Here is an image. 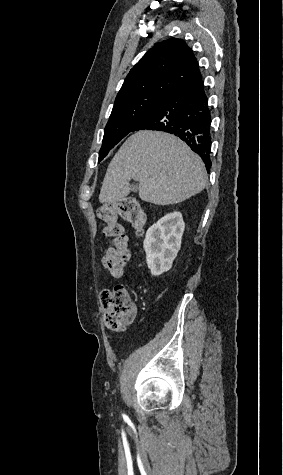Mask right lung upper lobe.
I'll return each mask as SVG.
<instances>
[{
	"label": "right lung upper lobe",
	"mask_w": 283,
	"mask_h": 475,
	"mask_svg": "<svg viewBox=\"0 0 283 475\" xmlns=\"http://www.w3.org/2000/svg\"><path fill=\"white\" fill-rule=\"evenodd\" d=\"M201 78L199 65L184 40L170 38L157 43L130 70L115 102L147 92L168 89Z\"/></svg>",
	"instance_id": "1"
}]
</instances>
